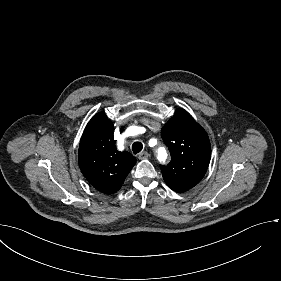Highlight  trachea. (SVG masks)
Here are the masks:
<instances>
[{
  "label": "trachea",
  "instance_id": "trachea-1",
  "mask_svg": "<svg viewBox=\"0 0 281 281\" xmlns=\"http://www.w3.org/2000/svg\"><path fill=\"white\" fill-rule=\"evenodd\" d=\"M142 149H143V145H142L141 142L136 141V142L133 143L132 151H133L134 154H137V153L141 152Z\"/></svg>",
  "mask_w": 281,
  "mask_h": 281
}]
</instances>
